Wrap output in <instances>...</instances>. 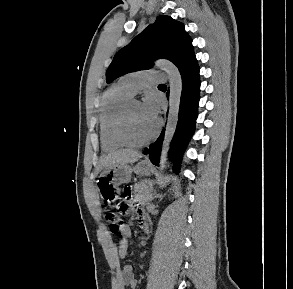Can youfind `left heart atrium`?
<instances>
[{
    "label": "left heart atrium",
    "mask_w": 293,
    "mask_h": 289,
    "mask_svg": "<svg viewBox=\"0 0 293 289\" xmlns=\"http://www.w3.org/2000/svg\"><path fill=\"white\" fill-rule=\"evenodd\" d=\"M145 113L154 121L158 120L160 112V104L154 95H147L142 103Z\"/></svg>",
    "instance_id": "obj_1"
}]
</instances>
